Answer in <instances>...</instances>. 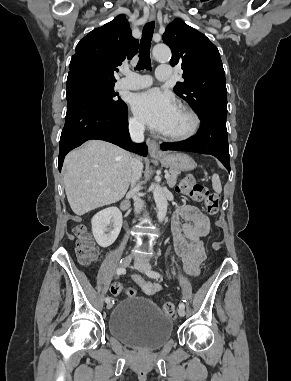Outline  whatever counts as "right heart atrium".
Masks as SVG:
<instances>
[{"label": "right heart atrium", "instance_id": "right-heart-atrium-1", "mask_svg": "<svg viewBox=\"0 0 291 381\" xmlns=\"http://www.w3.org/2000/svg\"><path fill=\"white\" fill-rule=\"evenodd\" d=\"M129 126L131 129L136 131H140L143 129V124L137 117H130Z\"/></svg>", "mask_w": 291, "mask_h": 381}]
</instances>
